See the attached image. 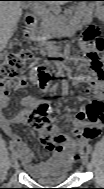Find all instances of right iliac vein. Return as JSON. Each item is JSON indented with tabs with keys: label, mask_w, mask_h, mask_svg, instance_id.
<instances>
[{
	"label": "right iliac vein",
	"mask_w": 104,
	"mask_h": 189,
	"mask_svg": "<svg viewBox=\"0 0 104 189\" xmlns=\"http://www.w3.org/2000/svg\"><path fill=\"white\" fill-rule=\"evenodd\" d=\"M18 157H19L18 152H17V151H13V152H12V155H11L12 162H13V163H16Z\"/></svg>",
	"instance_id": "right-iliac-vein-1"
}]
</instances>
